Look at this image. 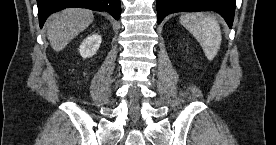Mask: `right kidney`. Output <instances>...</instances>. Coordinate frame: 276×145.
<instances>
[{
    "label": "right kidney",
    "mask_w": 276,
    "mask_h": 145,
    "mask_svg": "<svg viewBox=\"0 0 276 145\" xmlns=\"http://www.w3.org/2000/svg\"><path fill=\"white\" fill-rule=\"evenodd\" d=\"M101 36L98 34H93L88 36L83 40L79 47L80 55L83 58H90L96 54L101 44Z\"/></svg>",
    "instance_id": "right-kidney-1"
}]
</instances>
